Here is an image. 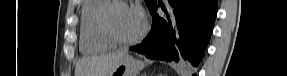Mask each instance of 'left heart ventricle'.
<instances>
[{"label":"left heart ventricle","instance_id":"obj_1","mask_svg":"<svg viewBox=\"0 0 287 76\" xmlns=\"http://www.w3.org/2000/svg\"><path fill=\"white\" fill-rule=\"evenodd\" d=\"M111 24L118 35L130 38L141 31L143 20L133 7H117L112 14Z\"/></svg>","mask_w":287,"mask_h":76}]
</instances>
